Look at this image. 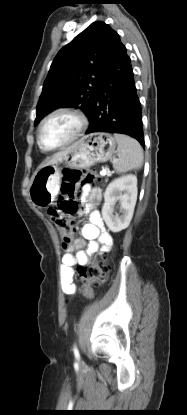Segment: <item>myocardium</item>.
<instances>
[{
    "label": "myocardium",
    "instance_id": "myocardium-1",
    "mask_svg": "<svg viewBox=\"0 0 187 415\" xmlns=\"http://www.w3.org/2000/svg\"><path fill=\"white\" fill-rule=\"evenodd\" d=\"M58 114H68L73 116L77 122H78V126L77 129L75 131V133L73 134V136L68 139L66 142L58 145V146H54V147H48L46 146L41 138V134H42V129L44 124L51 119L52 117H54L55 115ZM87 118L86 116L79 110L72 108V107H67V106H63V107H58L53 109L52 111H50L47 115L44 116V118L40 121L38 129H37V141L39 146L47 151H55V150H59L62 149L64 147H67L69 145H71L73 142H75L84 132V130L87 127Z\"/></svg>",
    "mask_w": 187,
    "mask_h": 415
}]
</instances>
